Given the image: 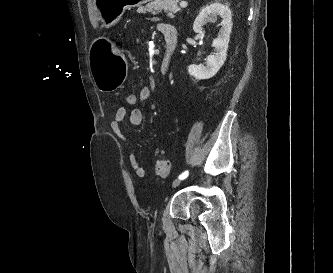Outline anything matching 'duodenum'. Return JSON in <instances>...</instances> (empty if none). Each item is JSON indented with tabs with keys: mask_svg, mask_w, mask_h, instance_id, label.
Returning a JSON list of instances; mask_svg holds the SVG:
<instances>
[{
	"mask_svg": "<svg viewBox=\"0 0 333 273\" xmlns=\"http://www.w3.org/2000/svg\"><path fill=\"white\" fill-rule=\"evenodd\" d=\"M162 33L165 42V57L161 65V72L166 75L170 68L172 55L177 46V31L174 27L166 25Z\"/></svg>",
	"mask_w": 333,
	"mask_h": 273,
	"instance_id": "410a0bca",
	"label": "duodenum"
}]
</instances>
